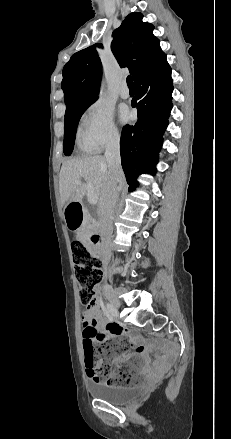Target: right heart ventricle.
<instances>
[{"mask_svg":"<svg viewBox=\"0 0 231 439\" xmlns=\"http://www.w3.org/2000/svg\"><path fill=\"white\" fill-rule=\"evenodd\" d=\"M79 145L85 151H88V152L92 151V149L81 138L79 141Z\"/></svg>","mask_w":231,"mask_h":439,"instance_id":"e07e8e85","label":"right heart ventricle"}]
</instances>
